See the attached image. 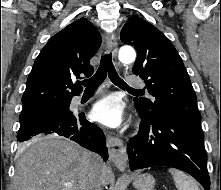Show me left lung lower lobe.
<instances>
[{
    "mask_svg": "<svg viewBox=\"0 0 221 190\" xmlns=\"http://www.w3.org/2000/svg\"><path fill=\"white\" fill-rule=\"evenodd\" d=\"M137 110L142 122L138 135L130 138L127 146L130 169L174 167L189 173L209 190L210 177L201 128L177 117H152Z\"/></svg>",
    "mask_w": 221,
    "mask_h": 190,
    "instance_id": "left-lung-lower-lobe-1",
    "label": "left lung lower lobe"
}]
</instances>
